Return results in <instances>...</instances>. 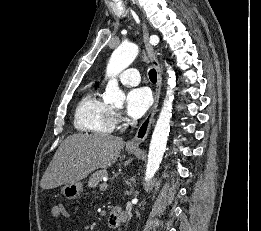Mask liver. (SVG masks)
Segmentation results:
<instances>
[{
  "instance_id": "obj_1",
  "label": "liver",
  "mask_w": 261,
  "mask_h": 231,
  "mask_svg": "<svg viewBox=\"0 0 261 231\" xmlns=\"http://www.w3.org/2000/svg\"><path fill=\"white\" fill-rule=\"evenodd\" d=\"M124 140L108 134H74L59 146L42 180L43 189H53L87 177L98 168L111 167L124 147Z\"/></svg>"
}]
</instances>
